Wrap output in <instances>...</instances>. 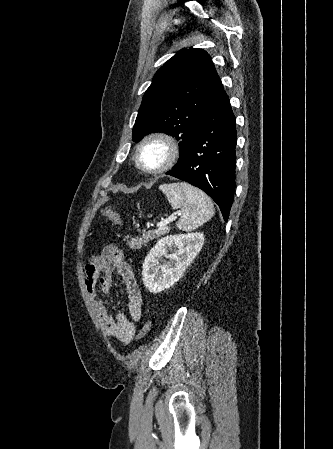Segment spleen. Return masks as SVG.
<instances>
[{
    "mask_svg": "<svg viewBox=\"0 0 333 449\" xmlns=\"http://www.w3.org/2000/svg\"><path fill=\"white\" fill-rule=\"evenodd\" d=\"M159 189L166 195L173 209H181L182 216L176 224L179 230H194L210 220L215 213L210 197L188 183L163 184Z\"/></svg>",
    "mask_w": 333,
    "mask_h": 449,
    "instance_id": "spleen-1",
    "label": "spleen"
}]
</instances>
